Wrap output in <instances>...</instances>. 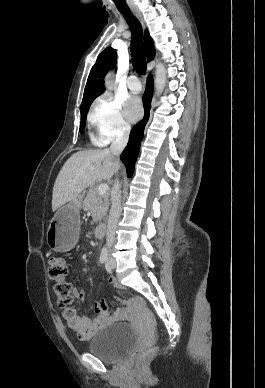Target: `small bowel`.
Listing matches in <instances>:
<instances>
[{"label":"small bowel","instance_id":"small-bowel-1","mask_svg":"<svg viewBox=\"0 0 265 388\" xmlns=\"http://www.w3.org/2000/svg\"><path fill=\"white\" fill-rule=\"evenodd\" d=\"M109 284L118 291L121 287L113 277L109 278ZM74 296L82 301L85 292L80 288H74ZM109 305L106 301L97 302L95 305L96 314L93 319L80 317L72 307H65L62 316L66 321L67 328L75 333L81 340H89L105 325L119 320L122 316L119 313L110 314Z\"/></svg>","mask_w":265,"mask_h":388}]
</instances>
